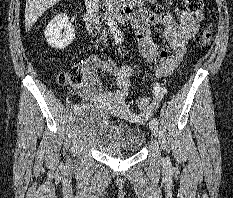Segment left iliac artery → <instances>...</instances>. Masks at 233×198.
I'll list each match as a JSON object with an SVG mask.
<instances>
[{"instance_id":"left-iliac-artery-1","label":"left iliac artery","mask_w":233,"mask_h":198,"mask_svg":"<svg viewBox=\"0 0 233 198\" xmlns=\"http://www.w3.org/2000/svg\"><path fill=\"white\" fill-rule=\"evenodd\" d=\"M155 90L157 91V92H160V87H159V85H156L155 87ZM162 91L163 92H166V89H162ZM152 122L154 123V124H156V125H158L159 124V121H158V119L157 118H153L152 119Z\"/></svg>"}]
</instances>
